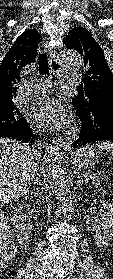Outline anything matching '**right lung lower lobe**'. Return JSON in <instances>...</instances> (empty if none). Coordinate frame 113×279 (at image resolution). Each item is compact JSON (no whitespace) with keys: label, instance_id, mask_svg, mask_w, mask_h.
I'll list each match as a JSON object with an SVG mask.
<instances>
[{"label":"right lung lower lobe","instance_id":"98d812e1","mask_svg":"<svg viewBox=\"0 0 113 279\" xmlns=\"http://www.w3.org/2000/svg\"><path fill=\"white\" fill-rule=\"evenodd\" d=\"M35 136L36 134L32 133L31 128L28 126L27 122L18 126L0 129V138L8 137L32 144Z\"/></svg>","mask_w":113,"mask_h":279}]
</instances>
